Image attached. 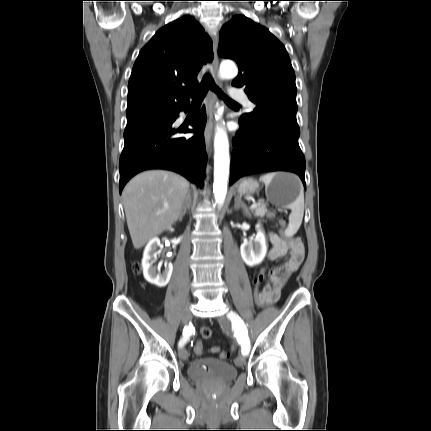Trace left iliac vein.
I'll list each match as a JSON object with an SVG mask.
<instances>
[{
	"instance_id": "left-iliac-vein-1",
	"label": "left iliac vein",
	"mask_w": 431,
	"mask_h": 431,
	"mask_svg": "<svg viewBox=\"0 0 431 431\" xmlns=\"http://www.w3.org/2000/svg\"><path fill=\"white\" fill-rule=\"evenodd\" d=\"M222 321L224 324H227V319L225 317L222 318ZM246 363V359L243 355H239L236 359H235V364L238 367L243 366Z\"/></svg>"
}]
</instances>
